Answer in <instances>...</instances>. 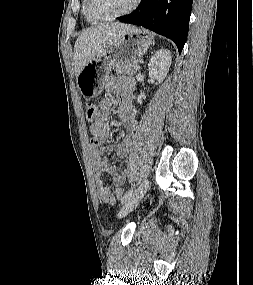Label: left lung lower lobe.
I'll list each match as a JSON object with an SVG mask.
<instances>
[{
	"instance_id": "obj_1",
	"label": "left lung lower lobe",
	"mask_w": 253,
	"mask_h": 285,
	"mask_svg": "<svg viewBox=\"0 0 253 285\" xmlns=\"http://www.w3.org/2000/svg\"><path fill=\"white\" fill-rule=\"evenodd\" d=\"M193 0H145L120 22L143 26L175 42L181 53L188 34Z\"/></svg>"
}]
</instances>
